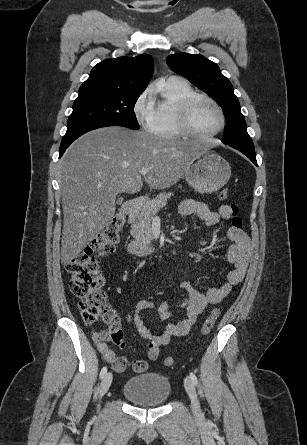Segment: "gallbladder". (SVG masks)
<instances>
[{
	"instance_id": "gallbladder-1",
	"label": "gallbladder",
	"mask_w": 307,
	"mask_h": 445,
	"mask_svg": "<svg viewBox=\"0 0 307 445\" xmlns=\"http://www.w3.org/2000/svg\"><path fill=\"white\" fill-rule=\"evenodd\" d=\"M116 204L117 205H122L123 204V199L122 198H117L116 199Z\"/></svg>"
}]
</instances>
